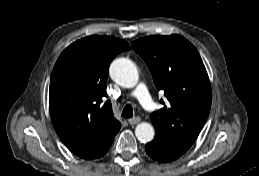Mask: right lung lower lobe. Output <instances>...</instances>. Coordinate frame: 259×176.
I'll list each match as a JSON object with an SVG mask.
<instances>
[{
	"label": "right lung lower lobe",
	"mask_w": 259,
	"mask_h": 176,
	"mask_svg": "<svg viewBox=\"0 0 259 176\" xmlns=\"http://www.w3.org/2000/svg\"><path fill=\"white\" fill-rule=\"evenodd\" d=\"M111 144L106 146L95 158H99V157L103 156L108 151V149L110 148ZM95 158H93V159H95Z\"/></svg>",
	"instance_id": "right-lung-lower-lobe-1"
}]
</instances>
